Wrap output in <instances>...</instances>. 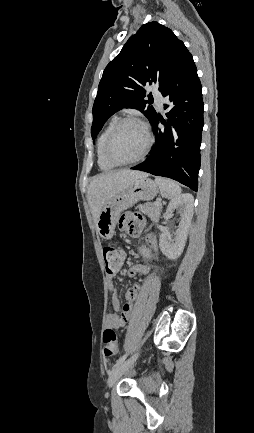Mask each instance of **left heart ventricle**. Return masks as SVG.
I'll list each match as a JSON object with an SVG mask.
<instances>
[{
	"label": "left heart ventricle",
	"instance_id": "left-heart-ventricle-1",
	"mask_svg": "<svg viewBox=\"0 0 254 433\" xmlns=\"http://www.w3.org/2000/svg\"><path fill=\"white\" fill-rule=\"evenodd\" d=\"M146 142V135L139 125L126 124L114 136L110 154L118 161L132 160L140 155Z\"/></svg>",
	"mask_w": 254,
	"mask_h": 433
}]
</instances>
